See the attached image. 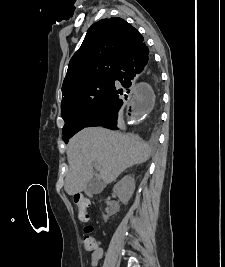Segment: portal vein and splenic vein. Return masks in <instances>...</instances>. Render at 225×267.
I'll list each match as a JSON object with an SVG mask.
<instances>
[{
	"instance_id": "portal-vein-and-splenic-vein-1",
	"label": "portal vein and splenic vein",
	"mask_w": 225,
	"mask_h": 267,
	"mask_svg": "<svg viewBox=\"0 0 225 267\" xmlns=\"http://www.w3.org/2000/svg\"><path fill=\"white\" fill-rule=\"evenodd\" d=\"M96 169H97V163H95Z\"/></svg>"
}]
</instances>
